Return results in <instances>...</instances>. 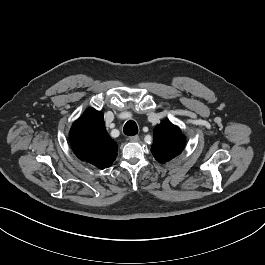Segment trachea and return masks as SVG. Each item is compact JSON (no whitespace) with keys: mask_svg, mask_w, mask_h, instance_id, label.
Masks as SVG:
<instances>
[{"mask_svg":"<svg viewBox=\"0 0 265 265\" xmlns=\"http://www.w3.org/2000/svg\"><path fill=\"white\" fill-rule=\"evenodd\" d=\"M123 132L128 136L136 135L138 133L137 124L133 120L128 121L124 125Z\"/></svg>","mask_w":265,"mask_h":265,"instance_id":"obj_1","label":"trachea"}]
</instances>
